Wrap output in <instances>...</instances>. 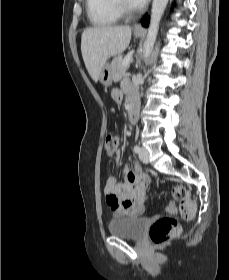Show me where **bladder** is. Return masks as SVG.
I'll return each instance as SVG.
<instances>
[{
    "mask_svg": "<svg viewBox=\"0 0 229 280\" xmlns=\"http://www.w3.org/2000/svg\"><path fill=\"white\" fill-rule=\"evenodd\" d=\"M146 227V218L127 217L114 219L108 229L112 236L125 239H139L143 236Z\"/></svg>",
    "mask_w": 229,
    "mask_h": 280,
    "instance_id": "bladder-1",
    "label": "bladder"
}]
</instances>
